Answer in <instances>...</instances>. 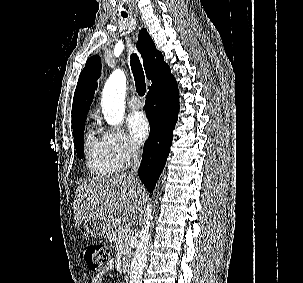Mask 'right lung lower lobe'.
Wrapping results in <instances>:
<instances>
[{
	"mask_svg": "<svg viewBox=\"0 0 303 283\" xmlns=\"http://www.w3.org/2000/svg\"><path fill=\"white\" fill-rule=\"evenodd\" d=\"M150 134L143 149L139 178L152 192L164 168L179 112V92L174 77L150 89L145 102Z\"/></svg>",
	"mask_w": 303,
	"mask_h": 283,
	"instance_id": "right-lung-lower-lobe-1",
	"label": "right lung lower lobe"
}]
</instances>
